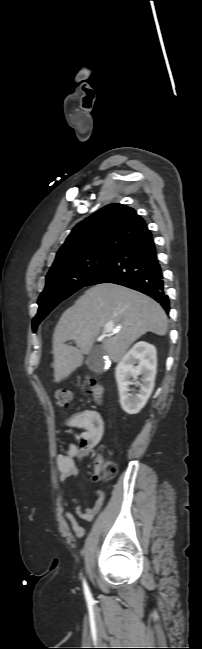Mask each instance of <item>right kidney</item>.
Returning a JSON list of instances; mask_svg holds the SVG:
<instances>
[{
	"label": "right kidney",
	"instance_id": "obj_1",
	"mask_svg": "<svg viewBox=\"0 0 202 649\" xmlns=\"http://www.w3.org/2000/svg\"><path fill=\"white\" fill-rule=\"evenodd\" d=\"M137 364V366H134ZM157 368V352L155 346L141 341L136 343L122 358L115 369L118 384L120 404L128 414H136L144 407L153 388ZM142 375L139 392L132 396L129 385L136 384L130 378ZM138 385V384H136Z\"/></svg>",
	"mask_w": 202,
	"mask_h": 649
}]
</instances>
